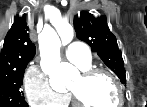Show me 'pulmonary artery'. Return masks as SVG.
I'll use <instances>...</instances> for the list:
<instances>
[{
  "label": "pulmonary artery",
  "mask_w": 147,
  "mask_h": 107,
  "mask_svg": "<svg viewBox=\"0 0 147 107\" xmlns=\"http://www.w3.org/2000/svg\"><path fill=\"white\" fill-rule=\"evenodd\" d=\"M65 55L71 63L79 68H87L91 64L90 50L83 43L74 42L70 44Z\"/></svg>",
  "instance_id": "pulmonary-artery-1"
}]
</instances>
